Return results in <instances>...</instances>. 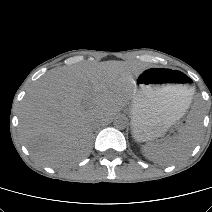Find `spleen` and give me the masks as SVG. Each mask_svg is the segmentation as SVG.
Wrapping results in <instances>:
<instances>
[{
    "label": "spleen",
    "mask_w": 212,
    "mask_h": 212,
    "mask_svg": "<svg viewBox=\"0 0 212 212\" xmlns=\"http://www.w3.org/2000/svg\"><path fill=\"white\" fill-rule=\"evenodd\" d=\"M201 125L188 120L180 134L173 140L149 143L142 147L144 156L156 163L171 165L186 158L196 145Z\"/></svg>",
    "instance_id": "1"
}]
</instances>
